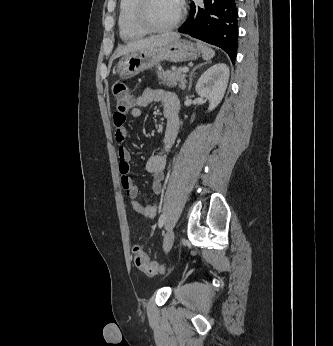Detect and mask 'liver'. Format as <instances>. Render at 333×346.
Masks as SVG:
<instances>
[{"mask_svg": "<svg viewBox=\"0 0 333 346\" xmlns=\"http://www.w3.org/2000/svg\"><path fill=\"white\" fill-rule=\"evenodd\" d=\"M179 38H180V34L178 33H165L162 35L151 36L145 39L134 41V42L128 43L124 47L118 48L114 54V58L120 57L122 55L131 53L134 51H138V50L164 46L175 40H178Z\"/></svg>", "mask_w": 333, "mask_h": 346, "instance_id": "1", "label": "liver"}]
</instances>
